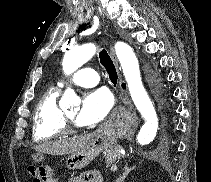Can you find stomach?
Wrapping results in <instances>:
<instances>
[{
    "label": "stomach",
    "mask_w": 211,
    "mask_h": 182,
    "mask_svg": "<svg viewBox=\"0 0 211 182\" xmlns=\"http://www.w3.org/2000/svg\"><path fill=\"white\" fill-rule=\"evenodd\" d=\"M117 141V132L113 128H106L93 134L90 141L80 150L69 155L65 164L70 170H78L86 167L102 151L115 147ZM33 159L39 162L43 159L41 154L33 155Z\"/></svg>",
    "instance_id": "obj_1"
}]
</instances>
